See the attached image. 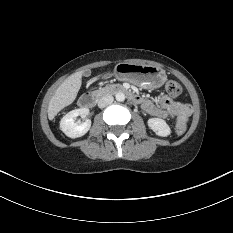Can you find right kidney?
Returning a JSON list of instances; mask_svg holds the SVG:
<instances>
[{
	"label": "right kidney",
	"instance_id": "ca27d5eb",
	"mask_svg": "<svg viewBox=\"0 0 233 233\" xmlns=\"http://www.w3.org/2000/svg\"><path fill=\"white\" fill-rule=\"evenodd\" d=\"M89 113V109L80 108L68 112L60 121L61 131L70 138H78L85 135L90 127L91 120L86 119L83 123L75 122V118L78 116H86Z\"/></svg>",
	"mask_w": 233,
	"mask_h": 233
}]
</instances>
